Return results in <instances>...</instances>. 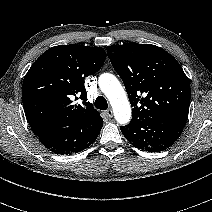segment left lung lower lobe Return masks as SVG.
<instances>
[{
  "instance_id": "left-lung-lower-lobe-1",
  "label": "left lung lower lobe",
  "mask_w": 212,
  "mask_h": 212,
  "mask_svg": "<svg viewBox=\"0 0 212 212\" xmlns=\"http://www.w3.org/2000/svg\"><path fill=\"white\" fill-rule=\"evenodd\" d=\"M185 122L168 117L134 118L120 128L133 146L148 152H160L174 144L182 133Z\"/></svg>"
}]
</instances>
